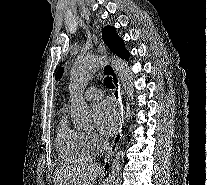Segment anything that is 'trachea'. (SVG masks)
Instances as JSON below:
<instances>
[{
	"instance_id": "1",
	"label": "trachea",
	"mask_w": 207,
	"mask_h": 185,
	"mask_svg": "<svg viewBox=\"0 0 207 185\" xmlns=\"http://www.w3.org/2000/svg\"><path fill=\"white\" fill-rule=\"evenodd\" d=\"M104 83H105L106 87L114 88V85H113L112 80H111L110 77L105 78Z\"/></svg>"
}]
</instances>
